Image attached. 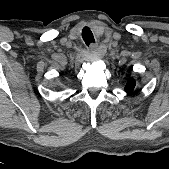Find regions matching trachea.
<instances>
[{
  "label": "trachea",
  "instance_id": "obj_1",
  "mask_svg": "<svg viewBox=\"0 0 169 169\" xmlns=\"http://www.w3.org/2000/svg\"><path fill=\"white\" fill-rule=\"evenodd\" d=\"M82 38L87 46L95 42L92 31L89 27H84L82 30Z\"/></svg>",
  "mask_w": 169,
  "mask_h": 169
}]
</instances>
